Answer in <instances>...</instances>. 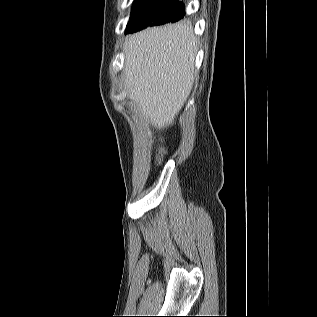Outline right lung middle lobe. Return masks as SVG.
<instances>
[{"label":"right lung middle lobe","instance_id":"dd1d6c3e","mask_svg":"<svg viewBox=\"0 0 317 317\" xmlns=\"http://www.w3.org/2000/svg\"><path fill=\"white\" fill-rule=\"evenodd\" d=\"M184 7L178 0H135L125 33H133L184 17Z\"/></svg>","mask_w":317,"mask_h":317}]
</instances>
